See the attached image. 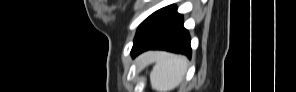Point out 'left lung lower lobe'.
Returning <instances> with one entry per match:
<instances>
[{
  "label": "left lung lower lobe",
  "mask_w": 296,
  "mask_h": 92,
  "mask_svg": "<svg viewBox=\"0 0 296 92\" xmlns=\"http://www.w3.org/2000/svg\"><path fill=\"white\" fill-rule=\"evenodd\" d=\"M149 49L167 50L191 56L190 36L183 27V16L178 14L176 7H165L152 29L145 38L133 46V57Z\"/></svg>",
  "instance_id": "left-lung-lower-lobe-1"
}]
</instances>
